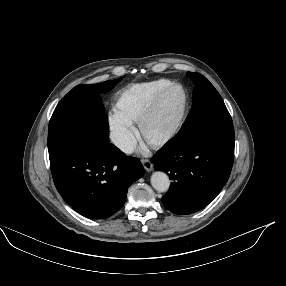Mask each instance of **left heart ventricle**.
I'll use <instances>...</instances> for the list:
<instances>
[{
    "mask_svg": "<svg viewBox=\"0 0 286 286\" xmlns=\"http://www.w3.org/2000/svg\"><path fill=\"white\" fill-rule=\"evenodd\" d=\"M183 106V92L175 88L168 92L159 103L153 117L145 128L149 139H157L166 134L177 121Z\"/></svg>",
    "mask_w": 286,
    "mask_h": 286,
    "instance_id": "obj_1",
    "label": "left heart ventricle"
}]
</instances>
